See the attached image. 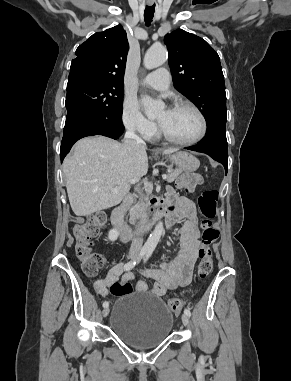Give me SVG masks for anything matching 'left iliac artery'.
Masks as SVG:
<instances>
[{
	"instance_id": "left-iliac-artery-1",
	"label": "left iliac artery",
	"mask_w": 291,
	"mask_h": 381,
	"mask_svg": "<svg viewBox=\"0 0 291 381\" xmlns=\"http://www.w3.org/2000/svg\"><path fill=\"white\" fill-rule=\"evenodd\" d=\"M151 254H152V250H148L147 253H146V256L144 258V262H146L148 260V258L151 256ZM184 314H186L189 317L191 316V312H190L189 309H185L184 310Z\"/></svg>"
}]
</instances>
